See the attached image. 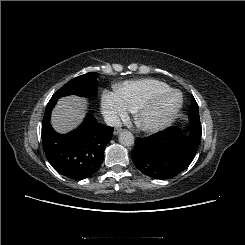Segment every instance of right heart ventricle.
Wrapping results in <instances>:
<instances>
[{"label": "right heart ventricle", "instance_id": "e07e8e85", "mask_svg": "<svg viewBox=\"0 0 245 245\" xmlns=\"http://www.w3.org/2000/svg\"><path fill=\"white\" fill-rule=\"evenodd\" d=\"M170 89L167 83L152 78L126 81L115 87V91L130 109H134L145 99Z\"/></svg>", "mask_w": 245, "mask_h": 245}]
</instances>
